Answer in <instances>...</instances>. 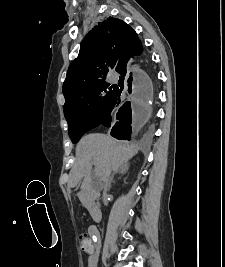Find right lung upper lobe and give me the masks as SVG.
<instances>
[{
	"label": "right lung upper lobe",
	"instance_id": "obj_1",
	"mask_svg": "<svg viewBox=\"0 0 225 267\" xmlns=\"http://www.w3.org/2000/svg\"><path fill=\"white\" fill-rule=\"evenodd\" d=\"M138 43L136 32L124 21L109 18L101 22L86 35L78 57L69 66L62 90L65 99L89 84L105 80L110 69L119 71Z\"/></svg>",
	"mask_w": 225,
	"mask_h": 267
}]
</instances>
